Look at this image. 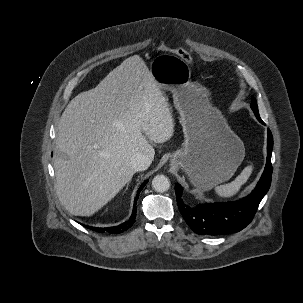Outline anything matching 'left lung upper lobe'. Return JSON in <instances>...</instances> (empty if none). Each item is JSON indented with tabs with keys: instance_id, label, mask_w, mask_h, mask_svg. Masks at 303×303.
Masks as SVG:
<instances>
[{
	"instance_id": "5c2ea615",
	"label": "left lung upper lobe",
	"mask_w": 303,
	"mask_h": 303,
	"mask_svg": "<svg viewBox=\"0 0 303 303\" xmlns=\"http://www.w3.org/2000/svg\"><path fill=\"white\" fill-rule=\"evenodd\" d=\"M251 108H252V110H253V112H254L255 115H259L258 107H257V103H256V99L255 98H252Z\"/></svg>"
}]
</instances>
